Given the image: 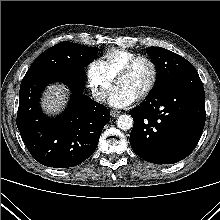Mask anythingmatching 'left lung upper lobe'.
Listing matches in <instances>:
<instances>
[{
  "label": "left lung upper lobe",
  "instance_id": "5c2ea615",
  "mask_svg": "<svg viewBox=\"0 0 220 220\" xmlns=\"http://www.w3.org/2000/svg\"><path fill=\"white\" fill-rule=\"evenodd\" d=\"M147 53L150 55L157 71V81L152 92L165 86L177 75L196 70L185 58L164 48L150 47L147 49Z\"/></svg>",
  "mask_w": 220,
  "mask_h": 220
}]
</instances>
